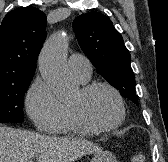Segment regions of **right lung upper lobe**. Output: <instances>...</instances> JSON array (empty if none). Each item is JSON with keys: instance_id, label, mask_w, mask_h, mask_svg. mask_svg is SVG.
<instances>
[{"instance_id": "cb5924a9", "label": "right lung upper lobe", "mask_w": 168, "mask_h": 162, "mask_svg": "<svg viewBox=\"0 0 168 162\" xmlns=\"http://www.w3.org/2000/svg\"><path fill=\"white\" fill-rule=\"evenodd\" d=\"M46 23V15L35 7L6 14L0 25V81L35 73Z\"/></svg>"}]
</instances>
